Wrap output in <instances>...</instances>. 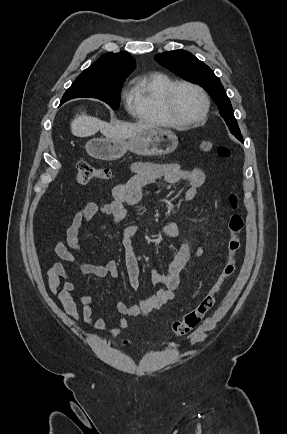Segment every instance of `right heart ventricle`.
<instances>
[{
    "mask_svg": "<svg viewBox=\"0 0 287 434\" xmlns=\"http://www.w3.org/2000/svg\"><path fill=\"white\" fill-rule=\"evenodd\" d=\"M173 82L167 74L154 72L133 79L128 109L140 121L160 126H175L164 106V94Z\"/></svg>",
    "mask_w": 287,
    "mask_h": 434,
    "instance_id": "right-heart-ventricle-1",
    "label": "right heart ventricle"
}]
</instances>
